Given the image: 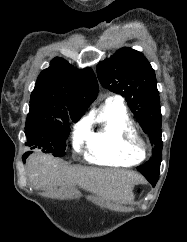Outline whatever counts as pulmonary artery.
Here are the masks:
<instances>
[{
	"instance_id": "obj_1",
	"label": "pulmonary artery",
	"mask_w": 187,
	"mask_h": 242,
	"mask_svg": "<svg viewBox=\"0 0 187 242\" xmlns=\"http://www.w3.org/2000/svg\"><path fill=\"white\" fill-rule=\"evenodd\" d=\"M107 101H111V102H121V98L118 96H114V97H110L107 99Z\"/></svg>"
}]
</instances>
